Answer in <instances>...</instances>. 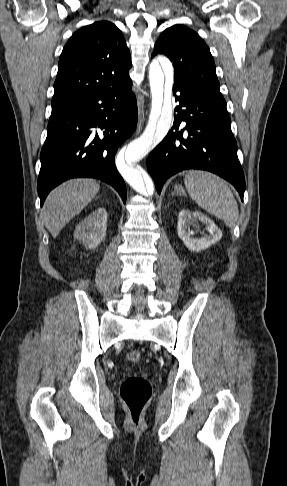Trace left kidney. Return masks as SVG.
Returning a JSON list of instances; mask_svg holds the SVG:
<instances>
[{
    "label": "left kidney",
    "instance_id": "5707ae66",
    "mask_svg": "<svg viewBox=\"0 0 287 486\" xmlns=\"http://www.w3.org/2000/svg\"><path fill=\"white\" fill-rule=\"evenodd\" d=\"M196 221L202 222L206 226L209 234H205L200 238L194 237V232L190 231L188 227L191 222ZM177 232L185 246L193 252L205 250L222 238L221 230L211 219L202 213L192 212L188 209H183L179 213Z\"/></svg>",
    "mask_w": 287,
    "mask_h": 486
}]
</instances>
